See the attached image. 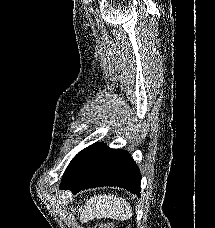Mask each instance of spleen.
Here are the masks:
<instances>
[{"label": "spleen", "mask_w": 215, "mask_h": 228, "mask_svg": "<svg viewBox=\"0 0 215 228\" xmlns=\"http://www.w3.org/2000/svg\"><path fill=\"white\" fill-rule=\"evenodd\" d=\"M83 218L94 220V218H112V220H130L132 218L131 206L126 200L112 196V194H103V196H95L91 198L84 206L82 212Z\"/></svg>", "instance_id": "1"}]
</instances>
